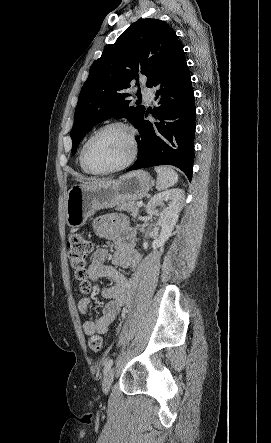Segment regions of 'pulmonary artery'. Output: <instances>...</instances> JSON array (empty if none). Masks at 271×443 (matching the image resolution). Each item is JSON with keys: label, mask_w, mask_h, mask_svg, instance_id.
<instances>
[{"label": "pulmonary artery", "mask_w": 271, "mask_h": 443, "mask_svg": "<svg viewBox=\"0 0 271 443\" xmlns=\"http://www.w3.org/2000/svg\"><path fill=\"white\" fill-rule=\"evenodd\" d=\"M143 98L147 103H152L154 101V91L152 89H147L143 92Z\"/></svg>", "instance_id": "obj_1"}]
</instances>
